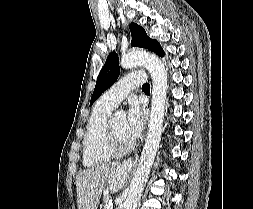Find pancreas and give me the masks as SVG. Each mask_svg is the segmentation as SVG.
Returning <instances> with one entry per match:
<instances>
[{"instance_id": "pancreas-1", "label": "pancreas", "mask_w": 253, "mask_h": 209, "mask_svg": "<svg viewBox=\"0 0 253 209\" xmlns=\"http://www.w3.org/2000/svg\"><path fill=\"white\" fill-rule=\"evenodd\" d=\"M110 201V196H105L103 198V204H102V209H107V206L109 204Z\"/></svg>"}]
</instances>
